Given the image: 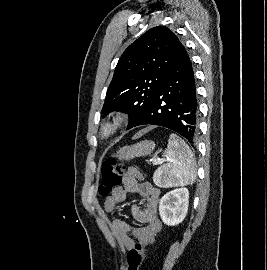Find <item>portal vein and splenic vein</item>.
Instances as JSON below:
<instances>
[{
    "mask_svg": "<svg viewBox=\"0 0 267 270\" xmlns=\"http://www.w3.org/2000/svg\"><path fill=\"white\" fill-rule=\"evenodd\" d=\"M160 162H162V159H160V158L153 159V164H154V165H157V164H159Z\"/></svg>",
    "mask_w": 267,
    "mask_h": 270,
    "instance_id": "portal-vein-and-splenic-vein-1",
    "label": "portal vein and splenic vein"
}]
</instances>
